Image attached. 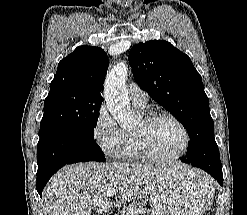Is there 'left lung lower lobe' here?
<instances>
[{
	"label": "left lung lower lobe",
	"instance_id": "obj_1",
	"mask_svg": "<svg viewBox=\"0 0 247 215\" xmlns=\"http://www.w3.org/2000/svg\"><path fill=\"white\" fill-rule=\"evenodd\" d=\"M181 161L201 168L213 176L221 186L223 185L222 165L219 150L213 139H208L199 144L193 145L190 155L181 158Z\"/></svg>",
	"mask_w": 247,
	"mask_h": 215
}]
</instances>
